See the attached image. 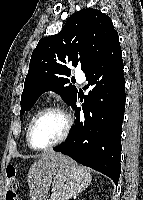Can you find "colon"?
<instances>
[{"label": "colon", "mask_w": 143, "mask_h": 200, "mask_svg": "<svg viewBox=\"0 0 143 200\" xmlns=\"http://www.w3.org/2000/svg\"><path fill=\"white\" fill-rule=\"evenodd\" d=\"M17 187H18V181L16 177V169L13 165H9L7 167L6 179H5L6 200H16Z\"/></svg>", "instance_id": "1"}]
</instances>
